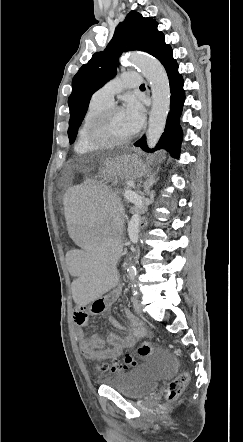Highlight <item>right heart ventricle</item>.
Wrapping results in <instances>:
<instances>
[{
    "label": "right heart ventricle",
    "mask_w": 243,
    "mask_h": 442,
    "mask_svg": "<svg viewBox=\"0 0 243 442\" xmlns=\"http://www.w3.org/2000/svg\"><path fill=\"white\" fill-rule=\"evenodd\" d=\"M110 106L111 105L97 101L94 97L91 98L77 130L76 141L74 144V150L76 153L88 154L99 149L89 141L87 129L93 118Z\"/></svg>",
    "instance_id": "obj_1"
}]
</instances>
